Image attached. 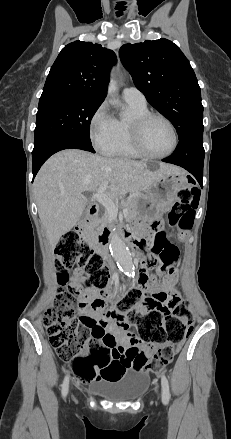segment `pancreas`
<instances>
[{
	"label": "pancreas",
	"mask_w": 231,
	"mask_h": 439,
	"mask_svg": "<svg viewBox=\"0 0 231 439\" xmlns=\"http://www.w3.org/2000/svg\"><path fill=\"white\" fill-rule=\"evenodd\" d=\"M139 196L134 195L133 197H129L121 203V207L123 209H127L126 220L131 221L137 216V207H138ZM112 217L106 211L104 215L100 219V224L105 225L112 222Z\"/></svg>",
	"instance_id": "obj_1"
}]
</instances>
